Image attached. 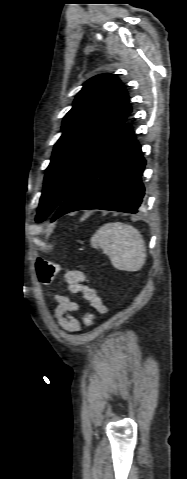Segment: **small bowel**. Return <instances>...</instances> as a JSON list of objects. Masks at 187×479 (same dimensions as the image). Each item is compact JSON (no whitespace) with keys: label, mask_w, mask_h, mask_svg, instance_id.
Instances as JSON below:
<instances>
[{"label":"small bowel","mask_w":187,"mask_h":479,"mask_svg":"<svg viewBox=\"0 0 187 479\" xmlns=\"http://www.w3.org/2000/svg\"><path fill=\"white\" fill-rule=\"evenodd\" d=\"M65 281L70 293L81 294L100 313L106 311L105 304L98 292L85 284L86 276L83 272L70 270L65 274ZM52 299L57 304L54 315L60 327L68 332L78 331L80 325L73 315V313L79 310L78 303L60 294H54Z\"/></svg>","instance_id":"small-bowel-1"}]
</instances>
